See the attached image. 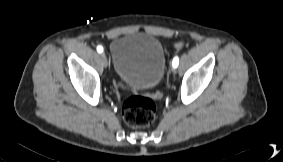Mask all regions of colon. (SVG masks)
Returning a JSON list of instances; mask_svg holds the SVG:
<instances>
[{
    "mask_svg": "<svg viewBox=\"0 0 283 162\" xmlns=\"http://www.w3.org/2000/svg\"><path fill=\"white\" fill-rule=\"evenodd\" d=\"M184 43L175 45L176 49L184 47ZM123 85L120 84V87ZM162 96L160 91L152 94H137L125 99L122 106V116L125 123L134 128H146L150 126L156 117V99Z\"/></svg>",
    "mask_w": 283,
    "mask_h": 162,
    "instance_id": "colon-1",
    "label": "colon"
}]
</instances>
